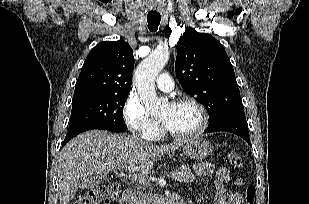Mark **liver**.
<instances>
[{
  "instance_id": "liver-1",
  "label": "liver",
  "mask_w": 309,
  "mask_h": 204,
  "mask_svg": "<svg viewBox=\"0 0 309 204\" xmlns=\"http://www.w3.org/2000/svg\"><path fill=\"white\" fill-rule=\"evenodd\" d=\"M184 143L181 140L157 146L127 135L87 131L72 139L59 153L57 175L60 204H69L79 182L87 176L106 175L122 166L130 172H148L157 158L175 151Z\"/></svg>"
}]
</instances>
